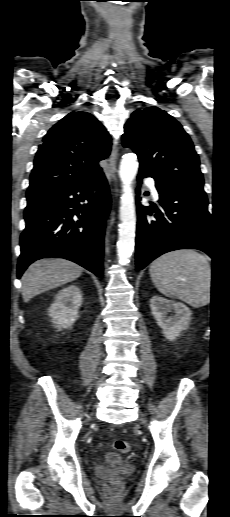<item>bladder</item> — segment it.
<instances>
[{"label": "bladder", "instance_id": "31cf9c89", "mask_svg": "<svg viewBox=\"0 0 230 517\" xmlns=\"http://www.w3.org/2000/svg\"><path fill=\"white\" fill-rule=\"evenodd\" d=\"M104 460L107 463L116 464L122 462L123 457L116 453H106L104 456Z\"/></svg>", "mask_w": 230, "mask_h": 517}]
</instances>
